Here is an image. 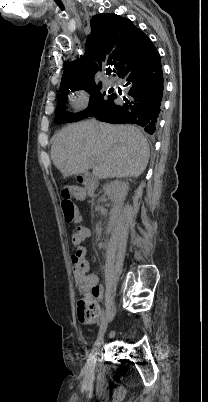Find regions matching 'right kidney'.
<instances>
[{"label": "right kidney", "instance_id": "1", "mask_svg": "<svg viewBox=\"0 0 208 402\" xmlns=\"http://www.w3.org/2000/svg\"><path fill=\"white\" fill-rule=\"evenodd\" d=\"M103 190L105 192V196H111L113 202H115V206H113L110 212L111 216H119L128 194V182H119V180H114V182L106 184Z\"/></svg>", "mask_w": 208, "mask_h": 402}]
</instances>
